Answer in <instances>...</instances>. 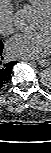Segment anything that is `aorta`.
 <instances>
[{"label":"aorta","mask_w":51,"mask_h":153,"mask_svg":"<svg viewBox=\"0 0 51 153\" xmlns=\"http://www.w3.org/2000/svg\"><path fill=\"white\" fill-rule=\"evenodd\" d=\"M39 13L31 8V7H24L18 9L14 14V24L15 26L23 31V32H30L32 31L36 23L39 20ZM40 82L45 87L51 86V69L46 68L42 70L39 74Z\"/></svg>","instance_id":"obj_1"}]
</instances>
